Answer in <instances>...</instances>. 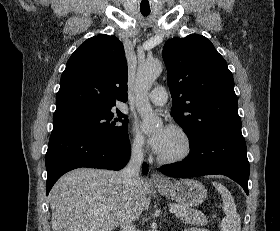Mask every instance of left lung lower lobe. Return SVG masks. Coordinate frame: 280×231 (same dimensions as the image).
I'll list each match as a JSON object with an SVG mask.
<instances>
[{
    "instance_id": "0a47b994",
    "label": "left lung lower lobe",
    "mask_w": 280,
    "mask_h": 231,
    "mask_svg": "<svg viewBox=\"0 0 280 231\" xmlns=\"http://www.w3.org/2000/svg\"><path fill=\"white\" fill-rule=\"evenodd\" d=\"M190 149L182 162L164 165L161 172L176 178L225 175L240 184L248 195L250 168L241 127L210 130L190 140Z\"/></svg>"
}]
</instances>
